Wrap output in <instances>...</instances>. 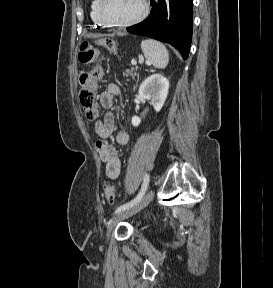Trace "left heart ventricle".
<instances>
[{"instance_id": "obj_1", "label": "left heart ventricle", "mask_w": 273, "mask_h": 288, "mask_svg": "<svg viewBox=\"0 0 273 288\" xmlns=\"http://www.w3.org/2000/svg\"><path fill=\"white\" fill-rule=\"evenodd\" d=\"M142 8V0H106L104 14L111 21L124 22L140 14Z\"/></svg>"}]
</instances>
